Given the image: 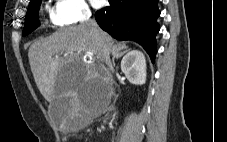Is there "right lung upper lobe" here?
Instances as JSON below:
<instances>
[{"mask_svg": "<svg viewBox=\"0 0 227 142\" xmlns=\"http://www.w3.org/2000/svg\"><path fill=\"white\" fill-rule=\"evenodd\" d=\"M33 1H35V0H31L30 3L33 2Z\"/></svg>", "mask_w": 227, "mask_h": 142, "instance_id": "right-lung-upper-lobe-1", "label": "right lung upper lobe"}]
</instances>
